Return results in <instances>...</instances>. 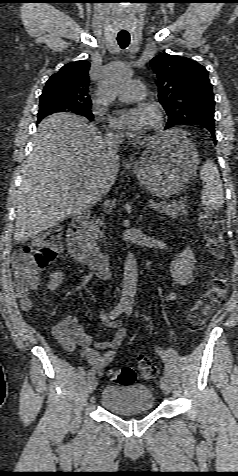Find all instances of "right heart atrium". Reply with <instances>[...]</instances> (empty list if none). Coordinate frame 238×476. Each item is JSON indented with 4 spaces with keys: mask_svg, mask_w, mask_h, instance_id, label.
<instances>
[{
    "mask_svg": "<svg viewBox=\"0 0 238 476\" xmlns=\"http://www.w3.org/2000/svg\"><path fill=\"white\" fill-rule=\"evenodd\" d=\"M96 117H97V119H98L99 121H102V120H103L102 113H100V112H96ZM106 129H107L108 135H110V136H115V135H116L115 132H114V130H113L112 128L107 127Z\"/></svg>",
    "mask_w": 238,
    "mask_h": 476,
    "instance_id": "d8ad5b80",
    "label": "right heart atrium"
}]
</instances>
